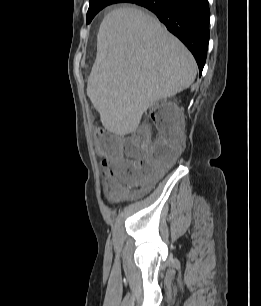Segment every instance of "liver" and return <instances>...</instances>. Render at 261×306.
Segmentation results:
<instances>
[{
	"mask_svg": "<svg viewBox=\"0 0 261 306\" xmlns=\"http://www.w3.org/2000/svg\"><path fill=\"white\" fill-rule=\"evenodd\" d=\"M197 65L161 23L135 7L108 13L100 24L87 95L110 132H134L157 101L188 88Z\"/></svg>",
	"mask_w": 261,
	"mask_h": 306,
	"instance_id": "6515ba94",
	"label": "liver"
}]
</instances>
